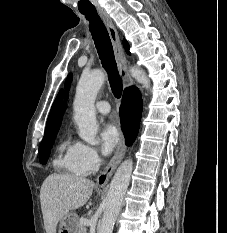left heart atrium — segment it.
Instances as JSON below:
<instances>
[{
  "mask_svg": "<svg viewBox=\"0 0 227 233\" xmlns=\"http://www.w3.org/2000/svg\"><path fill=\"white\" fill-rule=\"evenodd\" d=\"M120 132L115 123L109 122L104 125L100 133L102 152L109 155L120 143Z\"/></svg>",
  "mask_w": 227,
  "mask_h": 233,
  "instance_id": "left-heart-atrium-1",
  "label": "left heart atrium"
}]
</instances>
